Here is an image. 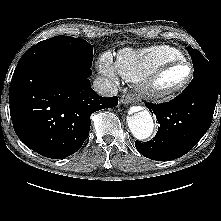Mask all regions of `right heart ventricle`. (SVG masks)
<instances>
[{
    "mask_svg": "<svg viewBox=\"0 0 221 221\" xmlns=\"http://www.w3.org/2000/svg\"><path fill=\"white\" fill-rule=\"evenodd\" d=\"M178 60H184V55L179 49L159 45L139 50L123 49L117 55L115 67L126 81L138 82L159 67Z\"/></svg>",
    "mask_w": 221,
    "mask_h": 221,
    "instance_id": "obj_1",
    "label": "right heart ventricle"
}]
</instances>
